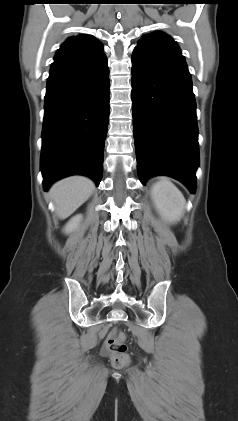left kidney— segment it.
I'll return each instance as SVG.
<instances>
[{"instance_id":"1","label":"left kidney","mask_w":238,"mask_h":421,"mask_svg":"<svg viewBox=\"0 0 238 421\" xmlns=\"http://www.w3.org/2000/svg\"><path fill=\"white\" fill-rule=\"evenodd\" d=\"M151 196L160 216L169 223L178 222L184 214L186 201L178 188L166 178L160 179L151 189Z\"/></svg>"}]
</instances>
